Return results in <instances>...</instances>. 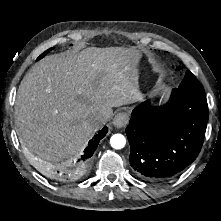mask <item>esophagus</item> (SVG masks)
<instances>
[{
	"mask_svg": "<svg viewBox=\"0 0 221 221\" xmlns=\"http://www.w3.org/2000/svg\"><path fill=\"white\" fill-rule=\"evenodd\" d=\"M129 122V114L127 112H119L113 119L112 124L116 128H123L125 127Z\"/></svg>",
	"mask_w": 221,
	"mask_h": 221,
	"instance_id": "1",
	"label": "esophagus"
}]
</instances>
